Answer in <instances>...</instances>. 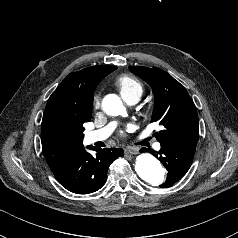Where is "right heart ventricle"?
<instances>
[{
	"instance_id": "e07e8e85",
	"label": "right heart ventricle",
	"mask_w": 238,
	"mask_h": 238,
	"mask_svg": "<svg viewBox=\"0 0 238 238\" xmlns=\"http://www.w3.org/2000/svg\"><path fill=\"white\" fill-rule=\"evenodd\" d=\"M115 84L123 98L136 96L140 98L144 91V86L140 80L131 75H120L116 78Z\"/></svg>"
}]
</instances>
